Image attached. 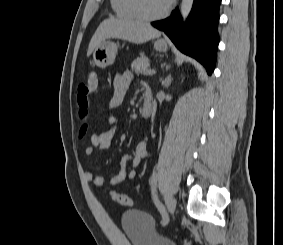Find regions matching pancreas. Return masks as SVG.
<instances>
[{
    "label": "pancreas",
    "mask_w": 283,
    "mask_h": 245,
    "mask_svg": "<svg viewBox=\"0 0 283 245\" xmlns=\"http://www.w3.org/2000/svg\"><path fill=\"white\" fill-rule=\"evenodd\" d=\"M131 67L136 74L145 73L149 67V59L146 57L137 58L132 62Z\"/></svg>",
    "instance_id": "1"
}]
</instances>
